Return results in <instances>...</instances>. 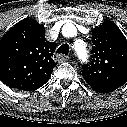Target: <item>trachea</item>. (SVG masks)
<instances>
[{"instance_id":"trachea-1","label":"trachea","mask_w":127,"mask_h":127,"mask_svg":"<svg viewBox=\"0 0 127 127\" xmlns=\"http://www.w3.org/2000/svg\"><path fill=\"white\" fill-rule=\"evenodd\" d=\"M57 53L59 54H64L68 55L69 53V45L68 44H63L57 49Z\"/></svg>"}]
</instances>
